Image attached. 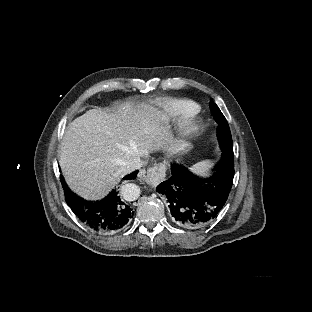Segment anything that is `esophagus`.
I'll list each match as a JSON object with an SVG mask.
<instances>
[{"instance_id": "esophagus-1", "label": "esophagus", "mask_w": 312, "mask_h": 312, "mask_svg": "<svg viewBox=\"0 0 312 312\" xmlns=\"http://www.w3.org/2000/svg\"><path fill=\"white\" fill-rule=\"evenodd\" d=\"M166 169V165L164 163H160L148 168L146 171L139 172L138 177L144 179L147 184L156 186L165 179Z\"/></svg>"}]
</instances>
